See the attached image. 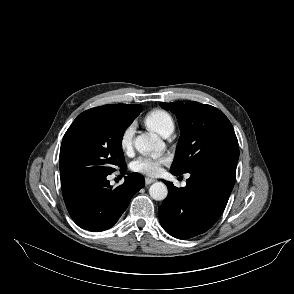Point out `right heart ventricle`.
<instances>
[{"label": "right heart ventricle", "mask_w": 294, "mask_h": 294, "mask_svg": "<svg viewBox=\"0 0 294 294\" xmlns=\"http://www.w3.org/2000/svg\"><path fill=\"white\" fill-rule=\"evenodd\" d=\"M144 121L149 128L164 137L171 134L175 128V122L171 114L162 109L149 112Z\"/></svg>", "instance_id": "right-heart-ventricle-1"}]
</instances>
